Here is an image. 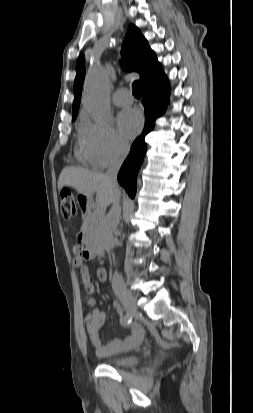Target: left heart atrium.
Masks as SVG:
<instances>
[{"mask_svg": "<svg viewBox=\"0 0 253 413\" xmlns=\"http://www.w3.org/2000/svg\"><path fill=\"white\" fill-rule=\"evenodd\" d=\"M121 134L126 138L134 137L143 126L142 114L136 109L122 111L117 118Z\"/></svg>", "mask_w": 253, "mask_h": 413, "instance_id": "left-heart-atrium-1", "label": "left heart atrium"}]
</instances>
